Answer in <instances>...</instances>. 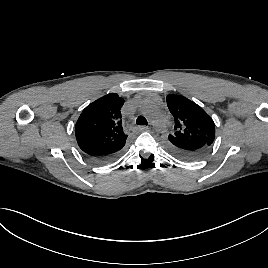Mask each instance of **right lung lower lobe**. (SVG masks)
I'll return each instance as SVG.
<instances>
[{
    "instance_id": "obj_1",
    "label": "right lung lower lobe",
    "mask_w": 268,
    "mask_h": 268,
    "mask_svg": "<svg viewBox=\"0 0 268 268\" xmlns=\"http://www.w3.org/2000/svg\"><path fill=\"white\" fill-rule=\"evenodd\" d=\"M121 149L108 153V154H99V155H89L86 154L87 157L91 158L92 160L99 162V163H107V162H111L114 159H116L118 157V155L120 154Z\"/></svg>"
}]
</instances>
